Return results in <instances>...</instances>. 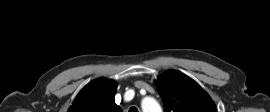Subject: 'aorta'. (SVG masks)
<instances>
[{
    "instance_id": "762f6f07",
    "label": "aorta",
    "mask_w": 270,
    "mask_h": 112,
    "mask_svg": "<svg viewBox=\"0 0 270 112\" xmlns=\"http://www.w3.org/2000/svg\"><path fill=\"white\" fill-rule=\"evenodd\" d=\"M143 112H162L160 105L151 97H146L141 103Z\"/></svg>"
}]
</instances>
